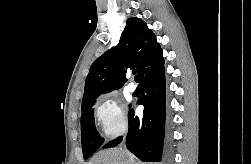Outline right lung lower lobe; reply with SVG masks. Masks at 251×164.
Here are the masks:
<instances>
[{"label": "right lung lower lobe", "mask_w": 251, "mask_h": 164, "mask_svg": "<svg viewBox=\"0 0 251 164\" xmlns=\"http://www.w3.org/2000/svg\"><path fill=\"white\" fill-rule=\"evenodd\" d=\"M164 64V63H163ZM161 64L146 73L140 80L144 116L139 119L130 109L127 148L143 162H161L169 158V134L165 113V73ZM122 137L109 142L103 148L114 147Z\"/></svg>", "instance_id": "obj_1"}]
</instances>
